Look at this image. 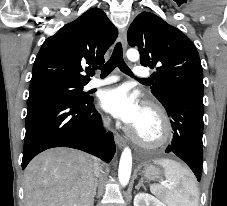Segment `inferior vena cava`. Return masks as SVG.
Masks as SVG:
<instances>
[{"label":"inferior vena cava","mask_w":227,"mask_h":206,"mask_svg":"<svg viewBox=\"0 0 227 206\" xmlns=\"http://www.w3.org/2000/svg\"><path fill=\"white\" fill-rule=\"evenodd\" d=\"M94 172H95L96 176L99 175V161L98 160L95 161V164H94Z\"/></svg>","instance_id":"inferior-vena-cava-1"}]
</instances>
